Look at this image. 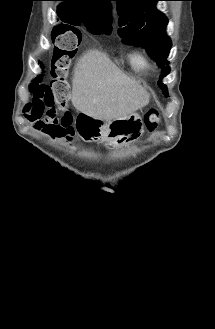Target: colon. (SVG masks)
<instances>
[{
  "label": "colon",
  "mask_w": 215,
  "mask_h": 329,
  "mask_svg": "<svg viewBox=\"0 0 215 329\" xmlns=\"http://www.w3.org/2000/svg\"><path fill=\"white\" fill-rule=\"evenodd\" d=\"M80 25H57L51 36L55 46L51 66H44V56H35V67L42 68L37 74V81H31L32 92L30 103L25 108L26 114L50 115L63 114L61 127L71 131L70 109L66 107L69 85L66 80L67 71L76 49H81ZM160 121L156 110H149L144 117V125L148 131H154Z\"/></svg>",
  "instance_id": "5ec220e1"
}]
</instances>
